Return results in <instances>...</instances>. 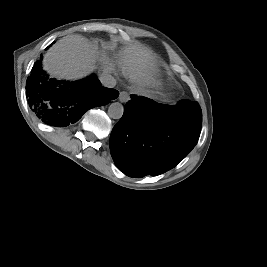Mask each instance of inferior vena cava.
I'll use <instances>...</instances> for the list:
<instances>
[{
  "label": "inferior vena cava",
  "mask_w": 267,
  "mask_h": 267,
  "mask_svg": "<svg viewBox=\"0 0 267 267\" xmlns=\"http://www.w3.org/2000/svg\"><path fill=\"white\" fill-rule=\"evenodd\" d=\"M100 82L107 88H113L116 85V79L109 73L103 72L99 77Z\"/></svg>",
  "instance_id": "602c4592"
}]
</instances>
